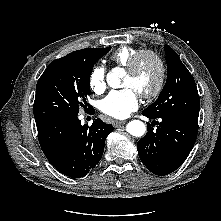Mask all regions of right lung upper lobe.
I'll use <instances>...</instances> for the list:
<instances>
[{"instance_id":"right-lung-upper-lobe-1","label":"right lung upper lobe","mask_w":221,"mask_h":221,"mask_svg":"<svg viewBox=\"0 0 221 221\" xmlns=\"http://www.w3.org/2000/svg\"><path fill=\"white\" fill-rule=\"evenodd\" d=\"M88 49H91V48H87V49L78 50V51H75V52H72V53L83 52V51H86V50H88Z\"/></svg>"}]
</instances>
